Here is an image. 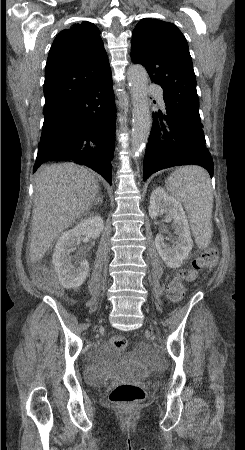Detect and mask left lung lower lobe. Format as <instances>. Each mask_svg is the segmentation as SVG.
<instances>
[{
	"label": "left lung lower lobe",
	"instance_id": "left-lung-lower-lobe-1",
	"mask_svg": "<svg viewBox=\"0 0 245 450\" xmlns=\"http://www.w3.org/2000/svg\"><path fill=\"white\" fill-rule=\"evenodd\" d=\"M166 114L153 113V125L144 160L143 180L179 165L198 164L213 176L214 166L202 123L187 108L163 95Z\"/></svg>",
	"mask_w": 245,
	"mask_h": 450
}]
</instances>
